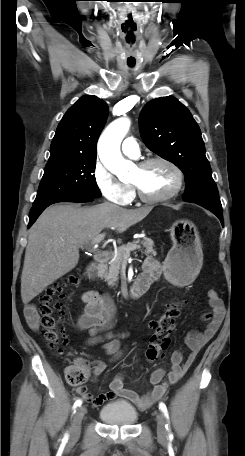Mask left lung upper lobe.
Segmentation results:
<instances>
[{
	"label": "left lung upper lobe",
	"mask_w": 245,
	"mask_h": 456,
	"mask_svg": "<svg viewBox=\"0 0 245 456\" xmlns=\"http://www.w3.org/2000/svg\"><path fill=\"white\" fill-rule=\"evenodd\" d=\"M139 121L146 146L184 173V201L222 212L201 131L190 111L172 96L160 97L144 106Z\"/></svg>",
	"instance_id": "left-lung-upper-lobe-1"
}]
</instances>
